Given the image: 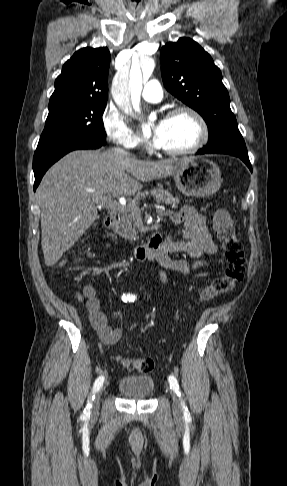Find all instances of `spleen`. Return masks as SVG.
Segmentation results:
<instances>
[{
  "mask_svg": "<svg viewBox=\"0 0 287 486\" xmlns=\"http://www.w3.org/2000/svg\"><path fill=\"white\" fill-rule=\"evenodd\" d=\"M242 209H244V210L247 209V204L244 200H242Z\"/></svg>",
  "mask_w": 287,
  "mask_h": 486,
  "instance_id": "1",
  "label": "spleen"
}]
</instances>
